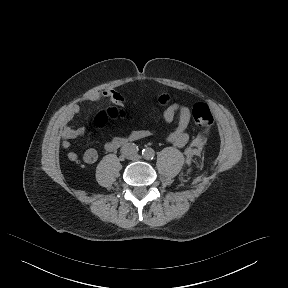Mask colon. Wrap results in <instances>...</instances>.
Wrapping results in <instances>:
<instances>
[{
  "instance_id": "1",
  "label": "colon",
  "mask_w": 288,
  "mask_h": 288,
  "mask_svg": "<svg viewBox=\"0 0 288 288\" xmlns=\"http://www.w3.org/2000/svg\"><path fill=\"white\" fill-rule=\"evenodd\" d=\"M119 116L116 109H101L93 117L91 121V126L93 130H102L110 122V120L115 119ZM125 117V114L121 116ZM194 119L198 126L205 127L212 123V117L210 110L205 105H198L195 108Z\"/></svg>"
}]
</instances>
